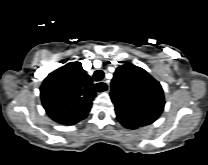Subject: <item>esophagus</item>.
<instances>
[{
	"mask_svg": "<svg viewBox=\"0 0 208 165\" xmlns=\"http://www.w3.org/2000/svg\"><path fill=\"white\" fill-rule=\"evenodd\" d=\"M97 84H100V85L106 87L105 92H109V89H110L109 83L103 81V82H99V83H97ZM95 85H96V84H95ZM95 85H94V86H95Z\"/></svg>",
	"mask_w": 208,
	"mask_h": 165,
	"instance_id": "obj_1",
	"label": "esophagus"
}]
</instances>
